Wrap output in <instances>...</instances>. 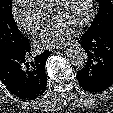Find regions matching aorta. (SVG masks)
Masks as SVG:
<instances>
[{
  "label": "aorta",
  "instance_id": "762f6f07",
  "mask_svg": "<svg viewBox=\"0 0 113 113\" xmlns=\"http://www.w3.org/2000/svg\"><path fill=\"white\" fill-rule=\"evenodd\" d=\"M69 61L75 67L81 68L86 65L88 56L85 50L78 44H72L66 51Z\"/></svg>",
  "mask_w": 113,
  "mask_h": 113
}]
</instances>
